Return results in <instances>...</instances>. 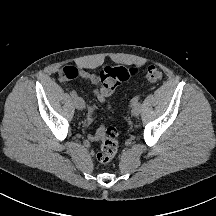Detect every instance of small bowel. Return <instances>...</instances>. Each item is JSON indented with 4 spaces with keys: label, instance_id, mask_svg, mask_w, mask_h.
<instances>
[{
    "label": "small bowel",
    "instance_id": "1",
    "mask_svg": "<svg viewBox=\"0 0 216 216\" xmlns=\"http://www.w3.org/2000/svg\"><path fill=\"white\" fill-rule=\"evenodd\" d=\"M78 77H80L81 79L85 80L86 82L94 86V94L100 103L102 104L108 103L112 93H107L102 89L99 78L94 73L84 69H79ZM94 120H95V107L93 105H90L88 109V115L85 119V124L87 126H90L92 125ZM97 134L98 133H91L89 138L94 141L97 139Z\"/></svg>",
    "mask_w": 216,
    "mask_h": 216
}]
</instances>
